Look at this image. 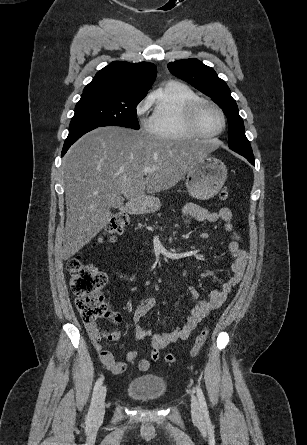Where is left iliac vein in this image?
I'll return each instance as SVG.
<instances>
[{"instance_id": "4c4485c4", "label": "left iliac vein", "mask_w": 307, "mask_h": 445, "mask_svg": "<svg viewBox=\"0 0 307 445\" xmlns=\"http://www.w3.org/2000/svg\"><path fill=\"white\" fill-rule=\"evenodd\" d=\"M191 412L195 420L200 421L202 419V413L199 402L195 395H191Z\"/></svg>"}]
</instances>
